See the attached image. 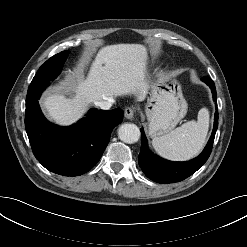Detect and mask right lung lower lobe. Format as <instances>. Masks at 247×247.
<instances>
[{"label": "right lung lower lobe", "instance_id": "98d812e1", "mask_svg": "<svg viewBox=\"0 0 247 247\" xmlns=\"http://www.w3.org/2000/svg\"><path fill=\"white\" fill-rule=\"evenodd\" d=\"M49 82L29 86L26 97L25 128L36 159L49 171L64 176L88 172L100 160L123 110L91 109L77 124L60 127L48 122L38 99Z\"/></svg>", "mask_w": 247, "mask_h": 247}]
</instances>
